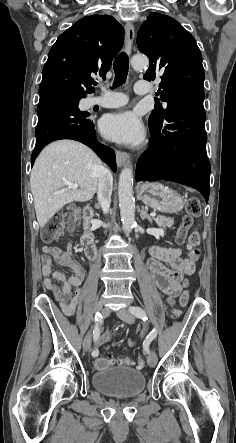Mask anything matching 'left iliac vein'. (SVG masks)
Segmentation results:
<instances>
[{
	"label": "left iliac vein",
	"instance_id": "1",
	"mask_svg": "<svg viewBox=\"0 0 236 443\" xmlns=\"http://www.w3.org/2000/svg\"><path fill=\"white\" fill-rule=\"evenodd\" d=\"M117 316L122 321H124L128 324H133L134 320H135L134 316L126 309H120L117 312ZM157 361H158L157 354L155 353V351H151L148 355V358H147L148 365L150 367H154V366H156Z\"/></svg>",
	"mask_w": 236,
	"mask_h": 443
}]
</instances>
